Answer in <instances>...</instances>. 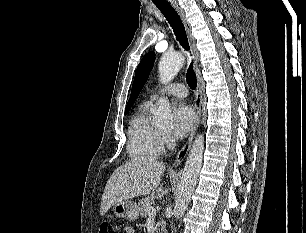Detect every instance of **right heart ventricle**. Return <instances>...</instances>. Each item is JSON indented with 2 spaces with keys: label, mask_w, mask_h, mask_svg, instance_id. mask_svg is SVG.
I'll list each match as a JSON object with an SVG mask.
<instances>
[{
  "label": "right heart ventricle",
  "mask_w": 306,
  "mask_h": 233,
  "mask_svg": "<svg viewBox=\"0 0 306 233\" xmlns=\"http://www.w3.org/2000/svg\"><path fill=\"white\" fill-rule=\"evenodd\" d=\"M151 107L144 102L130 121L127 153L136 160L154 159L162 152L161 133L151 122Z\"/></svg>",
  "instance_id": "right-heart-ventricle-1"
}]
</instances>
